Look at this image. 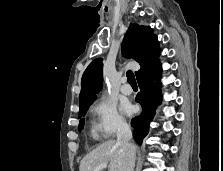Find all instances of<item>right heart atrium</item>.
Here are the masks:
<instances>
[{"label":"right heart atrium","mask_w":223,"mask_h":171,"mask_svg":"<svg viewBox=\"0 0 223 171\" xmlns=\"http://www.w3.org/2000/svg\"><path fill=\"white\" fill-rule=\"evenodd\" d=\"M91 113L94 117L93 131L100 138H112L128 128L116 104L108 99L97 100L91 107Z\"/></svg>","instance_id":"1"}]
</instances>
